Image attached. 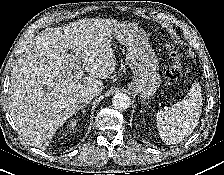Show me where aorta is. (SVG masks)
<instances>
[{
  "label": "aorta",
  "instance_id": "obj_1",
  "mask_svg": "<svg viewBox=\"0 0 224 175\" xmlns=\"http://www.w3.org/2000/svg\"><path fill=\"white\" fill-rule=\"evenodd\" d=\"M112 104L116 109H128L130 106V97L125 93H117L112 99Z\"/></svg>",
  "mask_w": 224,
  "mask_h": 175
}]
</instances>
